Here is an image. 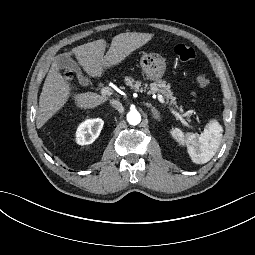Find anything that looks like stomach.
Returning <instances> with one entry per match:
<instances>
[{
    "mask_svg": "<svg viewBox=\"0 0 255 255\" xmlns=\"http://www.w3.org/2000/svg\"><path fill=\"white\" fill-rule=\"evenodd\" d=\"M147 57H149V55L144 56V58ZM142 68L148 80L158 83L165 74L166 64L159 58L158 61H154L153 63H142Z\"/></svg>",
    "mask_w": 255,
    "mask_h": 255,
    "instance_id": "1",
    "label": "stomach"
}]
</instances>
